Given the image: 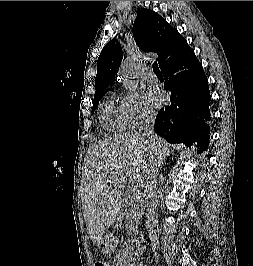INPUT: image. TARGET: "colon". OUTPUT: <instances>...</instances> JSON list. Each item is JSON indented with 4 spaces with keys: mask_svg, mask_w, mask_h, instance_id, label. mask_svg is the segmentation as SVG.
<instances>
[{
    "mask_svg": "<svg viewBox=\"0 0 253 266\" xmlns=\"http://www.w3.org/2000/svg\"><path fill=\"white\" fill-rule=\"evenodd\" d=\"M94 266H110L106 258H97L95 260Z\"/></svg>",
    "mask_w": 253,
    "mask_h": 266,
    "instance_id": "colon-1",
    "label": "colon"
}]
</instances>
